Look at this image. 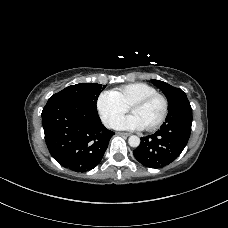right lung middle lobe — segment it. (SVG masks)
<instances>
[{
	"label": "right lung middle lobe",
	"mask_w": 228,
	"mask_h": 228,
	"mask_svg": "<svg viewBox=\"0 0 228 228\" xmlns=\"http://www.w3.org/2000/svg\"><path fill=\"white\" fill-rule=\"evenodd\" d=\"M106 86L96 83H80L71 85L62 91L52 95L50 99L60 98L75 101L97 110L98 96Z\"/></svg>",
	"instance_id": "dd1d6c3e"
}]
</instances>
